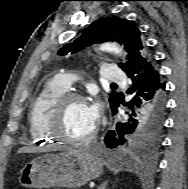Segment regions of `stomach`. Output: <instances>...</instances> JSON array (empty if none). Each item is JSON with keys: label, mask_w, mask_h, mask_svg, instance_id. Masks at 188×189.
I'll list each match as a JSON object with an SVG mask.
<instances>
[{"label": "stomach", "mask_w": 188, "mask_h": 189, "mask_svg": "<svg viewBox=\"0 0 188 189\" xmlns=\"http://www.w3.org/2000/svg\"><path fill=\"white\" fill-rule=\"evenodd\" d=\"M102 173V163L94 155L80 150L39 156L20 172V185L26 188L54 186L78 188Z\"/></svg>", "instance_id": "1"}]
</instances>
